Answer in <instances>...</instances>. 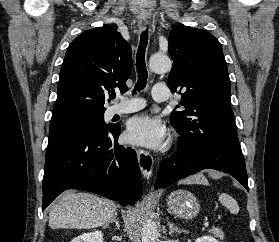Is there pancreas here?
Instances as JSON below:
<instances>
[{"label":"pancreas","mask_w":279,"mask_h":242,"mask_svg":"<svg viewBox=\"0 0 279 242\" xmlns=\"http://www.w3.org/2000/svg\"><path fill=\"white\" fill-rule=\"evenodd\" d=\"M211 232L216 236V237H219V238H223L224 237V233L221 229H217V228H214L211 230Z\"/></svg>","instance_id":"obj_1"}]
</instances>
